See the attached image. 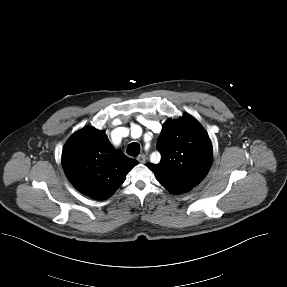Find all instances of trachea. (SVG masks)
Segmentation results:
<instances>
[{"instance_id":"trachea-1","label":"trachea","mask_w":287,"mask_h":287,"mask_svg":"<svg viewBox=\"0 0 287 287\" xmlns=\"http://www.w3.org/2000/svg\"><path fill=\"white\" fill-rule=\"evenodd\" d=\"M140 153V145L137 142H133L127 147V154L130 156H137Z\"/></svg>"}]
</instances>
